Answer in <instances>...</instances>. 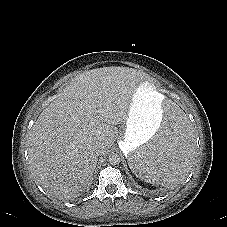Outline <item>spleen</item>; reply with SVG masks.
I'll list each match as a JSON object with an SVG mask.
<instances>
[{
	"label": "spleen",
	"instance_id": "spleen-1",
	"mask_svg": "<svg viewBox=\"0 0 227 227\" xmlns=\"http://www.w3.org/2000/svg\"><path fill=\"white\" fill-rule=\"evenodd\" d=\"M162 113L155 124L157 134L128 154L127 165L137 178L171 188L184 181L194 165V134L187 112L176 102H165Z\"/></svg>",
	"mask_w": 227,
	"mask_h": 227
}]
</instances>
